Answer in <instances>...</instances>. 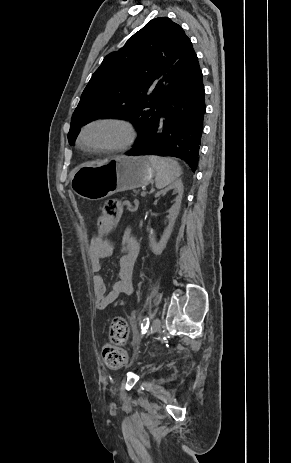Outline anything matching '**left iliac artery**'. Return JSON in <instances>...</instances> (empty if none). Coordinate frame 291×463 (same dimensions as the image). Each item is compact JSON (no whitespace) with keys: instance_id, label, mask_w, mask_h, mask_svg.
<instances>
[{"instance_id":"obj_1","label":"left iliac artery","mask_w":291,"mask_h":463,"mask_svg":"<svg viewBox=\"0 0 291 463\" xmlns=\"http://www.w3.org/2000/svg\"><path fill=\"white\" fill-rule=\"evenodd\" d=\"M149 327V318L146 317L143 319V322L141 324V332L142 334H145L147 332V329Z\"/></svg>"}]
</instances>
